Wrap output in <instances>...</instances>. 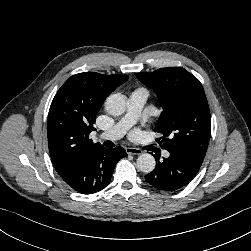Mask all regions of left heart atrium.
<instances>
[{
	"label": "left heart atrium",
	"instance_id": "1",
	"mask_svg": "<svg viewBox=\"0 0 251 251\" xmlns=\"http://www.w3.org/2000/svg\"><path fill=\"white\" fill-rule=\"evenodd\" d=\"M138 135V131H134L133 133H132V136L133 137H135V136H137Z\"/></svg>",
	"mask_w": 251,
	"mask_h": 251
}]
</instances>
